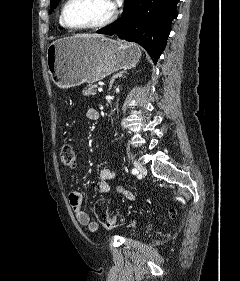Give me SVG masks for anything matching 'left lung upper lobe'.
Instances as JSON below:
<instances>
[{
	"mask_svg": "<svg viewBox=\"0 0 240 281\" xmlns=\"http://www.w3.org/2000/svg\"><path fill=\"white\" fill-rule=\"evenodd\" d=\"M60 0H50V13L53 11V9L58 5Z\"/></svg>",
	"mask_w": 240,
	"mask_h": 281,
	"instance_id": "obj_1",
	"label": "left lung upper lobe"
}]
</instances>
